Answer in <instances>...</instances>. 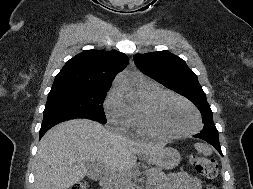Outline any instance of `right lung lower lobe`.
<instances>
[{
  "label": "right lung lower lobe",
  "mask_w": 253,
  "mask_h": 189,
  "mask_svg": "<svg viewBox=\"0 0 253 189\" xmlns=\"http://www.w3.org/2000/svg\"><path fill=\"white\" fill-rule=\"evenodd\" d=\"M72 118H79V117H72V116H58V117H49V118H44L42 122V126L40 129V139L42 136L54 125L68 119Z\"/></svg>",
  "instance_id": "1"
}]
</instances>
